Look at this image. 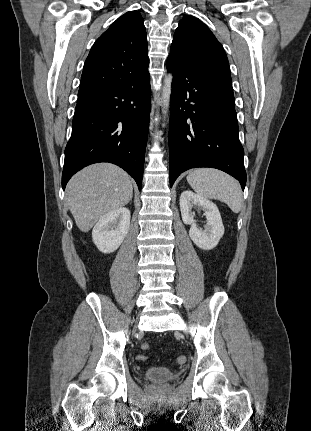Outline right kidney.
Listing matches in <instances>:
<instances>
[{"label": "right kidney", "instance_id": "1", "mask_svg": "<svg viewBox=\"0 0 311 431\" xmlns=\"http://www.w3.org/2000/svg\"><path fill=\"white\" fill-rule=\"evenodd\" d=\"M130 210L118 208L100 217L92 229V237L100 251L110 253L121 245L130 225Z\"/></svg>", "mask_w": 311, "mask_h": 431}]
</instances>
